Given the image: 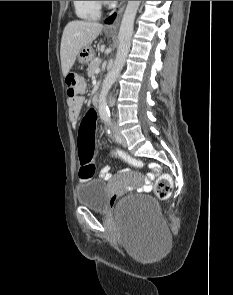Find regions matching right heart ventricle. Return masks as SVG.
Here are the masks:
<instances>
[{"label": "right heart ventricle", "instance_id": "obj_1", "mask_svg": "<svg viewBox=\"0 0 233 295\" xmlns=\"http://www.w3.org/2000/svg\"><path fill=\"white\" fill-rule=\"evenodd\" d=\"M76 15L85 20H97L101 15L98 1H73Z\"/></svg>", "mask_w": 233, "mask_h": 295}]
</instances>
